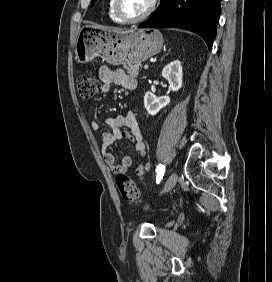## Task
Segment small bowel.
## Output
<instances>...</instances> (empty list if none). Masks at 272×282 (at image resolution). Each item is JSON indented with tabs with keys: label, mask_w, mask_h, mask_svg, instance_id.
<instances>
[{
	"label": "small bowel",
	"mask_w": 272,
	"mask_h": 282,
	"mask_svg": "<svg viewBox=\"0 0 272 282\" xmlns=\"http://www.w3.org/2000/svg\"><path fill=\"white\" fill-rule=\"evenodd\" d=\"M99 77L103 82L101 89L102 93H107L110 89V85L114 84L122 87L125 90H135L137 88V81L135 78L130 77L124 73L120 68L113 69L109 66H101L99 69ZM105 123L109 127L101 134V150L105 163L113 172H123L130 168L132 165V159L129 156H125L120 163L113 153L108 151V148L115 142L124 138L129 139L135 150L142 156H147L146 145L143 134L138 126L136 118L132 112H128L125 115L117 117H110L105 119ZM92 129L98 131L100 124L98 121L91 123ZM150 169L149 164L142 163L136 168V175L139 180H144L146 174Z\"/></svg>",
	"instance_id": "1"
}]
</instances>
